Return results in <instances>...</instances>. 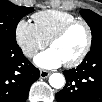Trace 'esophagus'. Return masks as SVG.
<instances>
[{
    "instance_id": "1",
    "label": "esophagus",
    "mask_w": 102,
    "mask_h": 102,
    "mask_svg": "<svg viewBox=\"0 0 102 102\" xmlns=\"http://www.w3.org/2000/svg\"><path fill=\"white\" fill-rule=\"evenodd\" d=\"M50 75V72L47 70H40V77L47 78Z\"/></svg>"
}]
</instances>
